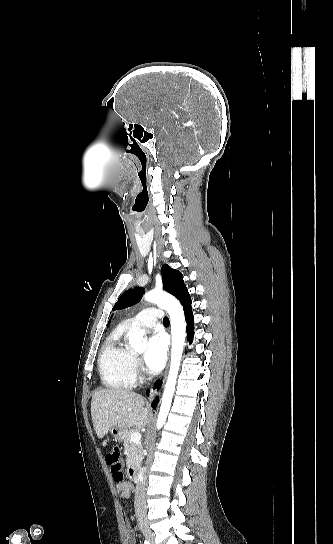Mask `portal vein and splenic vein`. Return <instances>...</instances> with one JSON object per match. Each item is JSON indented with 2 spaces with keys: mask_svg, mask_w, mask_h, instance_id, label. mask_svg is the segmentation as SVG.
Returning <instances> with one entry per match:
<instances>
[{
  "mask_svg": "<svg viewBox=\"0 0 333 544\" xmlns=\"http://www.w3.org/2000/svg\"><path fill=\"white\" fill-rule=\"evenodd\" d=\"M141 433L140 432H134L131 434V441L134 443H138L141 440Z\"/></svg>",
  "mask_w": 333,
  "mask_h": 544,
  "instance_id": "obj_1",
  "label": "portal vein and splenic vein"
}]
</instances>
